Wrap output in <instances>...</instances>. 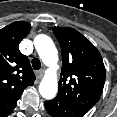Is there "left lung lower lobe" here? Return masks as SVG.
<instances>
[{"label": "left lung lower lobe", "mask_w": 117, "mask_h": 117, "mask_svg": "<svg viewBox=\"0 0 117 117\" xmlns=\"http://www.w3.org/2000/svg\"><path fill=\"white\" fill-rule=\"evenodd\" d=\"M45 108L52 117H83L87 113L58 96L45 101Z\"/></svg>", "instance_id": "0a47b994"}]
</instances>
